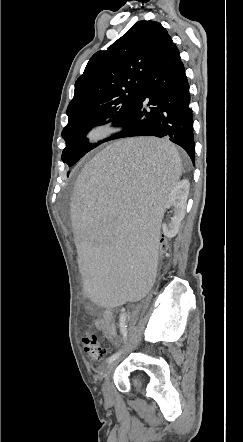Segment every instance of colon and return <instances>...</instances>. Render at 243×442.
I'll return each instance as SVG.
<instances>
[{
    "label": "colon",
    "instance_id": "5ec220e1",
    "mask_svg": "<svg viewBox=\"0 0 243 442\" xmlns=\"http://www.w3.org/2000/svg\"><path fill=\"white\" fill-rule=\"evenodd\" d=\"M168 235L165 232L159 235V251L157 253L158 258L163 259L168 251ZM83 347L85 352L94 362H101L106 356L108 350L104 347L98 335L95 332H88L83 338Z\"/></svg>",
    "mask_w": 243,
    "mask_h": 442
}]
</instances>
